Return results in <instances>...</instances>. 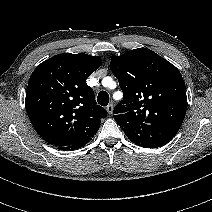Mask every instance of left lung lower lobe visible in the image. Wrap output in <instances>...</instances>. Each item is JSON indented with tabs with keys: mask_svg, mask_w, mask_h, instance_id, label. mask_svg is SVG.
Segmentation results:
<instances>
[{
	"mask_svg": "<svg viewBox=\"0 0 212 212\" xmlns=\"http://www.w3.org/2000/svg\"><path fill=\"white\" fill-rule=\"evenodd\" d=\"M179 127L164 124H143L124 131L127 137L136 145L144 148H157L170 142L178 132Z\"/></svg>",
	"mask_w": 212,
	"mask_h": 212,
	"instance_id": "left-lung-lower-lobe-1",
	"label": "left lung lower lobe"
}]
</instances>
